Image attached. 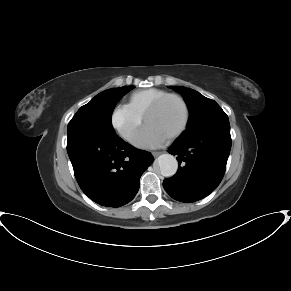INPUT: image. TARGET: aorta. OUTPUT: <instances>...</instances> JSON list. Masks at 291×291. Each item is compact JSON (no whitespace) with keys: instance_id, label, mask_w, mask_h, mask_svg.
I'll return each instance as SVG.
<instances>
[{"instance_id":"obj_1","label":"aorta","mask_w":291,"mask_h":291,"mask_svg":"<svg viewBox=\"0 0 291 291\" xmlns=\"http://www.w3.org/2000/svg\"><path fill=\"white\" fill-rule=\"evenodd\" d=\"M160 172L165 177L173 176L178 169V162L171 154H162L157 159Z\"/></svg>"}]
</instances>
